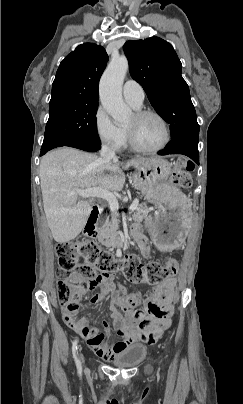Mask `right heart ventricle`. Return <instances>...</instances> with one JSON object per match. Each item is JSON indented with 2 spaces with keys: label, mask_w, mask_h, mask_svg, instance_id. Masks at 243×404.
<instances>
[{
  "label": "right heart ventricle",
  "mask_w": 243,
  "mask_h": 404,
  "mask_svg": "<svg viewBox=\"0 0 243 404\" xmlns=\"http://www.w3.org/2000/svg\"><path fill=\"white\" fill-rule=\"evenodd\" d=\"M124 147H125V148H128L130 151H135V149L130 145L127 136H126V141H125Z\"/></svg>",
  "instance_id": "e07e8e85"
}]
</instances>
